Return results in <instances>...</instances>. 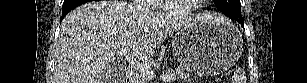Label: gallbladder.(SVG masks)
<instances>
[{
    "label": "gallbladder",
    "mask_w": 307,
    "mask_h": 83,
    "mask_svg": "<svg viewBox=\"0 0 307 83\" xmlns=\"http://www.w3.org/2000/svg\"><path fill=\"white\" fill-rule=\"evenodd\" d=\"M108 76V77H107ZM103 79H104V83H110L113 81H110L109 78L111 77V79L114 77V73L112 71H105L102 75Z\"/></svg>",
    "instance_id": "1"
}]
</instances>
